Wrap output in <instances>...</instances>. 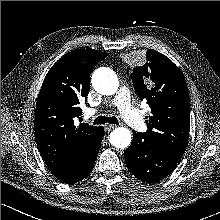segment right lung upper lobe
<instances>
[{"instance_id": "1", "label": "right lung upper lobe", "mask_w": 220, "mask_h": 220, "mask_svg": "<svg viewBox=\"0 0 220 220\" xmlns=\"http://www.w3.org/2000/svg\"><path fill=\"white\" fill-rule=\"evenodd\" d=\"M94 49H77L60 58L47 73L35 110V138L50 171L64 176L79 167L99 127L74 125L82 114L80 101L86 98L90 73L107 57Z\"/></svg>"}]
</instances>
